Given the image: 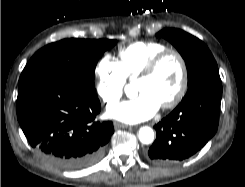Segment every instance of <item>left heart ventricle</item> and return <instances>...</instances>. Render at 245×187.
I'll list each match as a JSON object with an SVG mask.
<instances>
[{
    "label": "left heart ventricle",
    "mask_w": 245,
    "mask_h": 187,
    "mask_svg": "<svg viewBox=\"0 0 245 187\" xmlns=\"http://www.w3.org/2000/svg\"><path fill=\"white\" fill-rule=\"evenodd\" d=\"M180 81V64L175 56L170 55L160 62L150 77L136 81V90L151 94L162 105L176 93Z\"/></svg>",
    "instance_id": "1"
}]
</instances>
